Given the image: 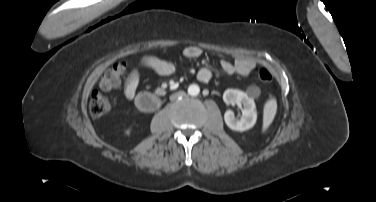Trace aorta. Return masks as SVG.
Instances as JSON below:
<instances>
[{
	"instance_id": "obj_1",
	"label": "aorta",
	"mask_w": 376,
	"mask_h": 202,
	"mask_svg": "<svg viewBox=\"0 0 376 202\" xmlns=\"http://www.w3.org/2000/svg\"><path fill=\"white\" fill-rule=\"evenodd\" d=\"M199 92H200V88L196 84H191L188 87V94L191 95V96H197L199 94Z\"/></svg>"
}]
</instances>
